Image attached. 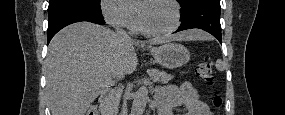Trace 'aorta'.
<instances>
[{"instance_id":"762f6f07","label":"aorta","mask_w":285,"mask_h":115,"mask_svg":"<svg viewBox=\"0 0 285 115\" xmlns=\"http://www.w3.org/2000/svg\"><path fill=\"white\" fill-rule=\"evenodd\" d=\"M119 3L124 2V0H117ZM148 91L146 88H140L134 97V101L131 108V115H143L146 104L148 102Z\"/></svg>"}]
</instances>
